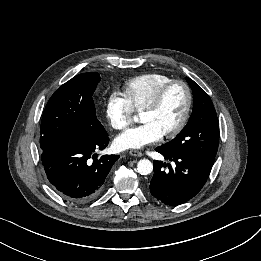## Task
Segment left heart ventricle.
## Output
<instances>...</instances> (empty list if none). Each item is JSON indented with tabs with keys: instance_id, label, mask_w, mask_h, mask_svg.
<instances>
[{
	"instance_id": "obj_1",
	"label": "left heart ventricle",
	"mask_w": 261,
	"mask_h": 261,
	"mask_svg": "<svg viewBox=\"0 0 261 261\" xmlns=\"http://www.w3.org/2000/svg\"><path fill=\"white\" fill-rule=\"evenodd\" d=\"M186 106V93L181 86L173 87L167 94L161 108L156 112H142L140 120L152 124L163 135L180 121Z\"/></svg>"
}]
</instances>
